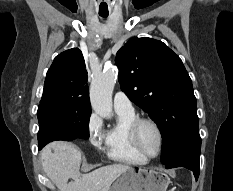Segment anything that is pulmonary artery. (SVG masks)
<instances>
[{"mask_svg":"<svg viewBox=\"0 0 233 191\" xmlns=\"http://www.w3.org/2000/svg\"><path fill=\"white\" fill-rule=\"evenodd\" d=\"M114 108L116 111H125V112L134 111L131 100L122 91H118L114 95Z\"/></svg>","mask_w":233,"mask_h":191,"instance_id":"obj_1","label":"pulmonary artery"}]
</instances>
